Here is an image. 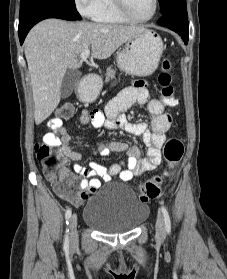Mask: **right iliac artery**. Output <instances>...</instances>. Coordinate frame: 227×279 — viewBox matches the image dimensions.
<instances>
[{"label": "right iliac artery", "mask_w": 227, "mask_h": 279, "mask_svg": "<svg viewBox=\"0 0 227 279\" xmlns=\"http://www.w3.org/2000/svg\"><path fill=\"white\" fill-rule=\"evenodd\" d=\"M71 209H68L65 213V218H66V224H68V220L71 217ZM69 247V238L68 235H65V240H64V249H67Z\"/></svg>", "instance_id": "82829eb1"}]
</instances>
